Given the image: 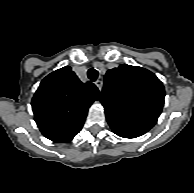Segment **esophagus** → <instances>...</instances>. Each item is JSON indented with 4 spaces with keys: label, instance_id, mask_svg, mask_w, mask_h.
Listing matches in <instances>:
<instances>
[{
    "label": "esophagus",
    "instance_id": "1",
    "mask_svg": "<svg viewBox=\"0 0 194 193\" xmlns=\"http://www.w3.org/2000/svg\"><path fill=\"white\" fill-rule=\"evenodd\" d=\"M95 84H96L97 88L99 89V91L101 92L102 86H103V82L101 80H97L95 82Z\"/></svg>",
    "mask_w": 194,
    "mask_h": 193
}]
</instances>
